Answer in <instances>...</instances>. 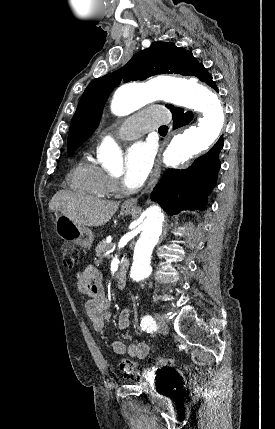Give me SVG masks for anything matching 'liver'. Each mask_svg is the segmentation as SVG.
Here are the masks:
<instances>
[{
	"mask_svg": "<svg viewBox=\"0 0 275 429\" xmlns=\"http://www.w3.org/2000/svg\"><path fill=\"white\" fill-rule=\"evenodd\" d=\"M119 207L118 202L81 196L69 190H60L49 202V210L68 216L74 223L84 227H99L106 224Z\"/></svg>",
	"mask_w": 275,
	"mask_h": 429,
	"instance_id": "obj_1",
	"label": "liver"
}]
</instances>
